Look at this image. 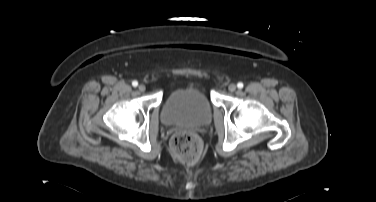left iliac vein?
<instances>
[{"label": "left iliac vein", "mask_w": 376, "mask_h": 202, "mask_svg": "<svg viewBox=\"0 0 376 202\" xmlns=\"http://www.w3.org/2000/svg\"><path fill=\"white\" fill-rule=\"evenodd\" d=\"M236 85L235 84H230L229 86H228V90L230 91V92H234L235 90H236Z\"/></svg>", "instance_id": "1"}]
</instances>
